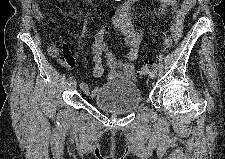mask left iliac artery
<instances>
[{
    "instance_id": "left-iliac-artery-1",
    "label": "left iliac artery",
    "mask_w": 225,
    "mask_h": 159,
    "mask_svg": "<svg viewBox=\"0 0 225 159\" xmlns=\"http://www.w3.org/2000/svg\"><path fill=\"white\" fill-rule=\"evenodd\" d=\"M153 68L158 69V65L156 63H153Z\"/></svg>"
}]
</instances>
